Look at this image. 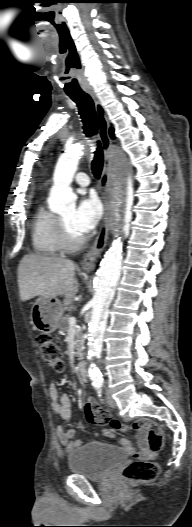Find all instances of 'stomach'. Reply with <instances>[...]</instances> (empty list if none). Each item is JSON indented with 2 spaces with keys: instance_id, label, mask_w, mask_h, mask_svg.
Here are the masks:
<instances>
[{
  "instance_id": "stomach-1",
  "label": "stomach",
  "mask_w": 192,
  "mask_h": 527,
  "mask_svg": "<svg viewBox=\"0 0 192 527\" xmlns=\"http://www.w3.org/2000/svg\"><path fill=\"white\" fill-rule=\"evenodd\" d=\"M63 305L56 298H38L31 310V320L36 330L49 334L60 325Z\"/></svg>"
}]
</instances>
